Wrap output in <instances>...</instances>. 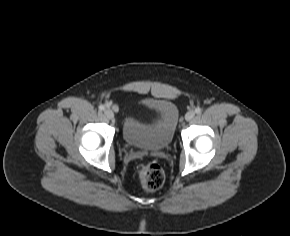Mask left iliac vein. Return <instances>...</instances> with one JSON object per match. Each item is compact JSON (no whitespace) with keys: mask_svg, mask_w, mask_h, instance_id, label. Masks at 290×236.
Masks as SVG:
<instances>
[{"mask_svg":"<svg viewBox=\"0 0 290 236\" xmlns=\"http://www.w3.org/2000/svg\"><path fill=\"white\" fill-rule=\"evenodd\" d=\"M194 116H195V112L192 111V110H190V111H188V112L186 113V115H185V119H186L187 121H190V120H192V119L194 118Z\"/></svg>","mask_w":290,"mask_h":236,"instance_id":"4c4485c4","label":"left iliac vein"}]
</instances>
